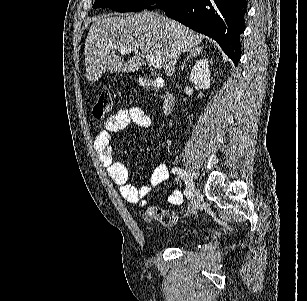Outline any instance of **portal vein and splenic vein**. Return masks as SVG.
Here are the masks:
<instances>
[{
	"label": "portal vein and splenic vein",
	"instance_id": "1",
	"mask_svg": "<svg viewBox=\"0 0 307 301\" xmlns=\"http://www.w3.org/2000/svg\"><path fill=\"white\" fill-rule=\"evenodd\" d=\"M118 50H120L121 54H125V52H139L141 54L142 50H138V48H132V46H118ZM149 64L155 66V68H161L162 66V58L159 54H145Z\"/></svg>",
	"mask_w": 307,
	"mask_h": 301
}]
</instances>
